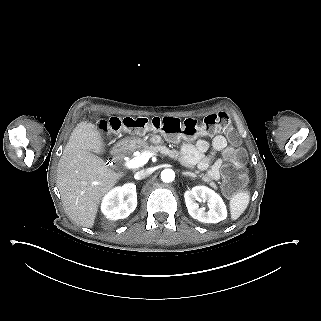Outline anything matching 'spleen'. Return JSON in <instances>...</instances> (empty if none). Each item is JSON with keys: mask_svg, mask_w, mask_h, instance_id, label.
I'll return each mask as SVG.
<instances>
[{"mask_svg": "<svg viewBox=\"0 0 321 321\" xmlns=\"http://www.w3.org/2000/svg\"><path fill=\"white\" fill-rule=\"evenodd\" d=\"M250 200L248 191H239L230 198V214L231 219H238L241 214L246 210Z\"/></svg>", "mask_w": 321, "mask_h": 321, "instance_id": "3e777b00", "label": "spleen"}]
</instances>
